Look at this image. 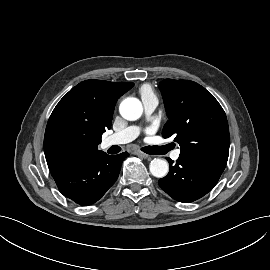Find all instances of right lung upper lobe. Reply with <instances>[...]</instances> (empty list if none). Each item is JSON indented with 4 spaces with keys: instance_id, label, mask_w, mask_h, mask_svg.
I'll use <instances>...</instances> for the list:
<instances>
[{
    "instance_id": "right-lung-upper-lobe-1",
    "label": "right lung upper lobe",
    "mask_w": 270,
    "mask_h": 270,
    "mask_svg": "<svg viewBox=\"0 0 270 270\" xmlns=\"http://www.w3.org/2000/svg\"><path fill=\"white\" fill-rule=\"evenodd\" d=\"M133 87L131 82L85 80L73 87L54 108L45 131L44 153L49 169L93 156L102 134L111 128L116 101ZM75 135L73 146L65 137Z\"/></svg>"
}]
</instances>
